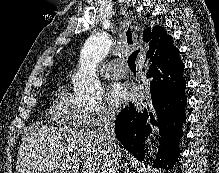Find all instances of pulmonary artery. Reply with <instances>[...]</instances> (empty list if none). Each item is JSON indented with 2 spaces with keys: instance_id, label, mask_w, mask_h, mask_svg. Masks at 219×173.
Returning a JSON list of instances; mask_svg holds the SVG:
<instances>
[{
  "instance_id": "e3ab8cb5",
  "label": "pulmonary artery",
  "mask_w": 219,
  "mask_h": 173,
  "mask_svg": "<svg viewBox=\"0 0 219 173\" xmlns=\"http://www.w3.org/2000/svg\"><path fill=\"white\" fill-rule=\"evenodd\" d=\"M101 74L106 79H119L126 75V69L120 59H115L102 67Z\"/></svg>"
}]
</instances>
